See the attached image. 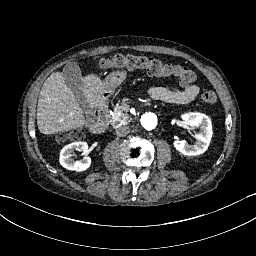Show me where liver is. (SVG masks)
Wrapping results in <instances>:
<instances>
[{
    "instance_id": "1",
    "label": "liver",
    "mask_w": 256,
    "mask_h": 256,
    "mask_svg": "<svg viewBox=\"0 0 256 256\" xmlns=\"http://www.w3.org/2000/svg\"><path fill=\"white\" fill-rule=\"evenodd\" d=\"M81 84L80 91L88 107L91 110L100 109L104 101L103 92L109 90V84L97 72L85 74ZM36 120L39 131L45 135L61 134L85 126L82 107L66 84L62 72L52 73L44 82Z\"/></svg>"
}]
</instances>
